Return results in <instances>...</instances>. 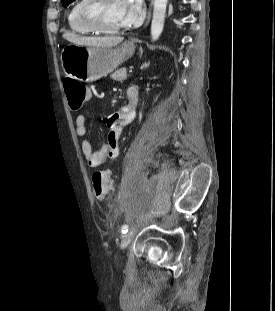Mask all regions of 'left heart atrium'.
<instances>
[{"label":"left heart atrium","mask_w":275,"mask_h":311,"mask_svg":"<svg viewBox=\"0 0 275 311\" xmlns=\"http://www.w3.org/2000/svg\"><path fill=\"white\" fill-rule=\"evenodd\" d=\"M124 6V26H133L138 24L144 14L142 0H122Z\"/></svg>","instance_id":"39dd6f15"}]
</instances>
